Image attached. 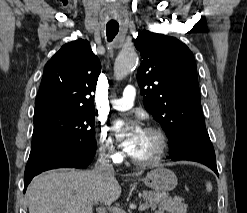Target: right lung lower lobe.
I'll return each mask as SVG.
<instances>
[{
	"instance_id": "right-lung-lower-lobe-1",
	"label": "right lung lower lobe",
	"mask_w": 247,
	"mask_h": 213,
	"mask_svg": "<svg viewBox=\"0 0 247 213\" xmlns=\"http://www.w3.org/2000/svg\"><path fill=\"white\" fill-rule=\"evenodd\" d=\"M95 150H75L68 141L48 146L29 156L24 174V192L32 178L54 168H80L88 166Z\"/></svg>"
}]
</instances>
